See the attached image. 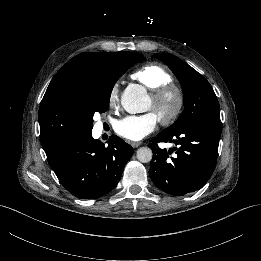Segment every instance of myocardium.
<instances>
[{
    "instance_id": "f54148a6",
    "label": "myocardium",
    "mask_w": 261,
    "mask_h": 261,
    "mask_svg": "<svg viewBox=\"0 0 261 261\" xmlns=\"http://www.w3.org/2000/svg\"><path fill=\"white\" fill-rule=\"evenodd\" d=\"M166 99H173L174 104L169 111L162 112L160 107ZM150 101L151 109L157 112V117L163 125H170L179 117L185 102L182 89L173 83L164 84L153 91Z\"/></svg>"
}]
</instances>
